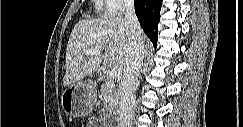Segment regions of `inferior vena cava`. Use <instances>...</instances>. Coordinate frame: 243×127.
I'll return each instance as SVG.
<instances>
[{
    "instance_id": "602c4592",
    "label": "inferior vena cava",
    "mask_w": 243,
    "mask_h": 127,
    "mask_svg": "<svg viewBox=\"0 0 243 127\" xmlns=\"http://www.w3.org/2000/svg\"><path fill=\"white\" fill-rule=\"evenodd\" d=\"M125 20L130 28L129 47L121 79L118 127H131L135 111V90L144 58L141 28L135 13L134 0H124Z\"/></svg>"
}]
</instances>
